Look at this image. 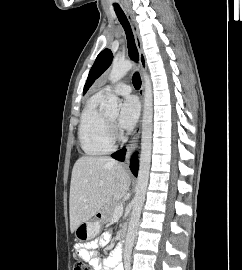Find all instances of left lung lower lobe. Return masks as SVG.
Masks as SVG:
<instances>
[{"mask_svg":"<svg viewBox=\"0 0 242 270\" xmlns=\"http://www.w3.org/2000/svg\"><path fill=\"white\" fill-rule=\"evenodd\" d=\"M125 154H126V149H121L115 152L114 154H112V157L119 161H123L125 158Z\"/></svg>","mask_w":242,"mask_h":270,"instance_id":"obj_1","label":"left lung lower lobe"}]
</instances>
